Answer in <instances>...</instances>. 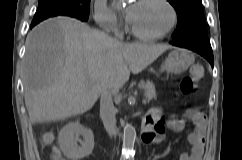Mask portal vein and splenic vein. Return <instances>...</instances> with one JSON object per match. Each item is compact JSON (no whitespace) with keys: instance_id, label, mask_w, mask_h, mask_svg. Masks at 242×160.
<instances>
[{"instance_id":"obj_1","label":"portal vein and splenic vein","mask_w":242,"mask_h":160,"mask_svg":"<svg viewBox=\"0 0 242 160\" xmlns=\"http://www.w3.org/2000/svg\"><path fill=\"white\" fill-rule=\"evenodd\" d=\"M143 103L145 104L146 103V100H143Z\"/></svg>"}]
</instances>
